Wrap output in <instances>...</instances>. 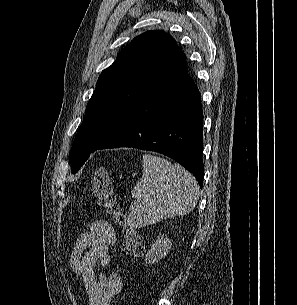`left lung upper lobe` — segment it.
Segmentation results:
<instances>
[{
	"instance_id": "obj_1",
	"label": "left lung upper lobe",
	"mask_w": 297,
	"mask_h": 305,
	"mask_svg": "<svg viewBox=\"0 0 297 305\" xmlns=\"http://www.w3.org/2000/svg\"><path fill=\"white\" fill-rule=\"evenodd\" d=\"M187 73L186 56L172 36L152 30L135 37L99 76L70 151L71 172L79 171L150 86Z\"/></svg>"
}]
</instances>
